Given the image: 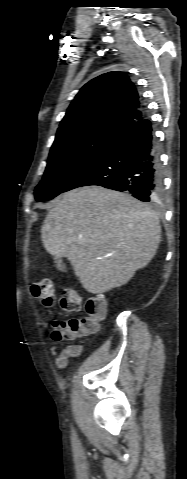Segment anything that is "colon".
Returning a JSON list of instances; mask_svg holds the SVG:
<instances>
[{
	"label": "colon",
	"mask_w": 187,
	"mask_h": 479,
	"mask_svg": "<svg viewBox=\"0 0 187 479\" xmlns=\"http://www.w3.org/2000/svg\"><path fill=\"white\" fill-rule=\"evenodd\" d=\"M32 295L45 305H53L56 300L53 283L49 279H42L34 282L31 286ZM60 306L67 313H75L85 308L86 316L72 318L67 321L58 322L54 327V339H72L88 335L98 329L100 321L107 314V301L103 295L97 294L87 299L84 303L82 297L73 287H66L62 290Z\"/></svg>",
	"instance_id": "1"
}]
</instances>
